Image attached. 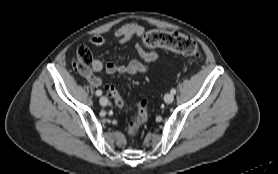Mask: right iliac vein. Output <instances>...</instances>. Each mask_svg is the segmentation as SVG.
Listing matches in <instances>:
<instances>
[{
    "label": "right iliac vein",
    "instance_id": "right-iliac-vein-1",
    "mask_svg": "<svg viewBox=\"0 0 278 174\" xmlns=\"http://www.w3.org/2000/svg\"><path fill=\"white\" fill-rule=\"evenodd\" d=\"M99 102L102 106H106L108 104V99L106 97H101Z\"/></svg>",
    "mask_w": 278,
    "mask_h": 174
}]
</instances>
